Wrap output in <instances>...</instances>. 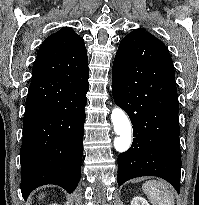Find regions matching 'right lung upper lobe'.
<instances>
[{
  "mask_svg": "<svg viewBox=\"0 0 199 205\" xmlns=\"http://www.w3.org/2000/svg\"><path fill=\"white\" fill-rule=\"evenodd\" d=\"M89 74L84 40L72 28L63 27L49 36L40 46L32 70L31 82H47L46 93L61 92L66 78ZM28 105V104H27Z\"/></svg>",
  "mask_w": 199,
  "mask_h": 205,
  "instance_id": "1",
  "label": "right lung upper lobe"
}]
</instances>
